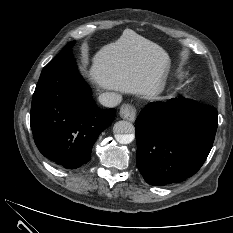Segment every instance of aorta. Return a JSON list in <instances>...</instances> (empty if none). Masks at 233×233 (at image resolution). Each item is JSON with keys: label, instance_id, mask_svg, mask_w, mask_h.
Masks as SVG:
<instances>
[{"label": "aorta", "instance_id": "obj_1", "mask_svg": "<svg viewBox=\"0 0 233 233\" xmlns=\"http://www.w3.org/2000/svg\"><path fill=\"white\" fill-rule=\"evenodd\" d=\"M115 139L121 144H129L134 140V126L128 121H118L113 126Z\"/></svg>", "mask_w": 233, "mask_h": 233}]
</instances>
